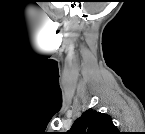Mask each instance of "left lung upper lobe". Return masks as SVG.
Wrapping results in <instances>:
<instances>
[{
  "instance_id": "left-lung-upper-lobe-1",
  "label": "left lung upper lobe",
  "mask_w": 145,
  "mask_h": 134,
  "mask_svg": "<svg viewBox=\"0 0 145 134\" xmlns=\"http://www.w3.org/2000/svg\"><path fill=\"white\" fill-rule=\"evenodd\" d=\"M112 118L96 110H87L75 120L69 134H118Z\"/></svg>"
}]
</instances>
